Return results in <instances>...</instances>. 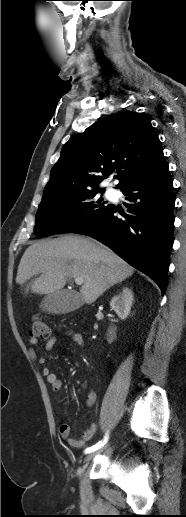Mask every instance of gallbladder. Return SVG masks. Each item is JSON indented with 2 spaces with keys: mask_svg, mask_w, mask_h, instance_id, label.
<instances>
[{
  "mask_svg": "<svg viewBox=\"0 0 186 517\" xmlns=\"http://www.w3.org/2000/svg\"><path fill=\"white\" fill-rule=\"evenodd\" d=\"M83 304L81 296L69 290H60L44 298L40 307L52 314H63L73 311Z\"/></svg>",
  "mask_w": 186,
  "mask_h": 517,
  "instance_id": "gallbladder-1",
  "label": "gallbladder"
}]
</instances>
